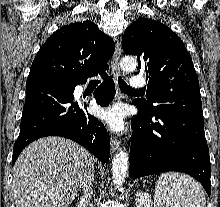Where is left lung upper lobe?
Returning <instances> with one entry per match:
<instances>
[{"label":"left lung upper lobe","mask_w":220,"mask_h":207,"mask_svg":"<svg viewBox=\"0 0 220 207\" xmlns=\"http://www.w3.org/2000/svg\"><path fill=\"white\" fill-rule=\"evenodd\" d=\"M122 48L138 58V70L148 79L146 99L137 101L152 111L159 94L176 89H197L199 81L183 41L166 25L139 18L125 31ZM137 74V73H136Z\"/></svg>","instance_id":"left-lung-upper-lobe-1"}]
</instances>
